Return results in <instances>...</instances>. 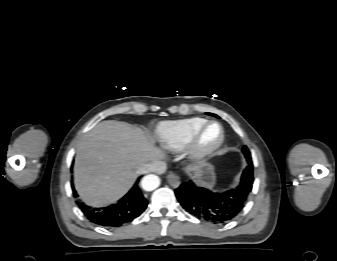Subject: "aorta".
I'll return each instance as SVG.
<instances>
[{"label": "aorta", "instance_id": "aorta-1", "mask_svg": "<svg viewBox=\"0 0 337 261\" xmlns=\"http://www.w3.org/2000/svg\"><path fill=\"white\" fill-rule=\"evenodd\" d=\"M141 185L145 191H153L160 185V179L158 176L150 174L142 179Z\"/></svg>", "mask_w": 337, "mask_h": 261}]
</instances>
